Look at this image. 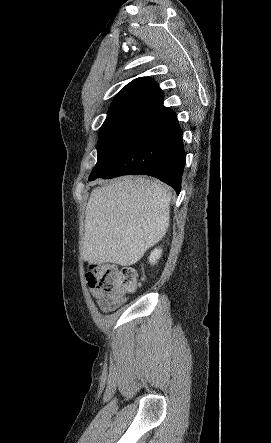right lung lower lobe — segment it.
<instances>
[{"label": "right lung lower lobe", "mask_w": 271, "mask_h": 443, "mask_svg": "<svg viewBox=\"0 0 271 443\" xmlns=\"http://www.w3.org/2000/svg\"><path fill=\"white\" fill-rule=\"evenodd\" d=\"M184 166L182 132L176 114L161 103L137 121L111 161L89 180L144 174L160 179L179 194Z\"/></svg>", "instance_id": "98d812e1"}]
</instances>
